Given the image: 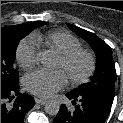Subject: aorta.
<instances>
[{
	"label": "aorta",
	"mask_w": 123,
	"mask_h": 123,
	"mask_svg": "<svg viewBox=\"0 0 123 123\" xmlns=\"http://www.w3.org/2000/svg\"><path fill=\"white\" fill-rule=\"evenodd\" d=\"M38 59L44 66H50L54 61V58L49 51L41 52ZM44 109L49 115H57L60 110V104L56 100H49L45 103Z\"/></svg>",
	"instance_id": "762f6f07"
}]
</instances>
